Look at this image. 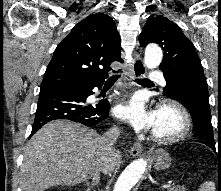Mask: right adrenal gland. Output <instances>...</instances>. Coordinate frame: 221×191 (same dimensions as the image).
I'll return each mask as SVG.
<instances>
[{
  "instance_id": "1",
  "label": "right adrenal gland",
  "mask_w": 221,
  "mask_h": 191,
  "mask_svg": "<svg viewBox=\"0 0 221 191\" xmlns=\"http://www.w3.org/2000/svg\"><path fill=\"white\" fill-rule=\"evenodd\" d=\"M99 179H100V177L98 176V177L95 178V180H93L92 183L87 182L86 183V185L88 186V190L87 191H91V189L99 183Z\"/></svg>"
}]
</instances>
